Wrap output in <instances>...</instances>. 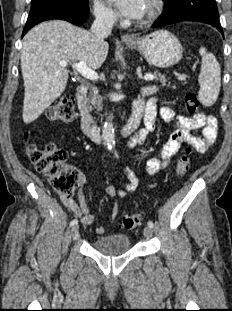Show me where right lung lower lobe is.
Wrapping results in <instances>:
<instances>
[{"instance_id": "1", "label": "right lung lower lobe", "mask_w": 232, "mask_h": 311, "mask_svg": "<svg viewBox=\"0 0 232 311\" xmlns=\"http://www.w3.org/2000/svg\"><path fill=\"white\" fill-rule=\"evenodd\" d=\"M89 17V11L64 4H43L31 7L22 37L36 24L51 19L69 21L77 26L83 24Z\"/></svg>"}]
</instances>
